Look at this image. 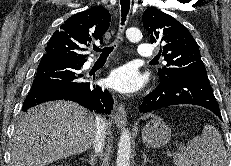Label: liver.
I'll use <instances>...</instances> for the list:
<instances>
[{"mask_svg":"<svg viewBox=\"0 0 231 166\" xmlns=\"http://www.w3.org/2000/svg\"><path fill=\"white\" fill-rule=\"evenodd\" d=\"M97 133L94 115L71 101L31 108L18 121L9 166H46L87 151Z\"/></svg>","mask_w":231,"mask_h":166,"instance_id":"obj_1","label":"liver"}]
</instances>
